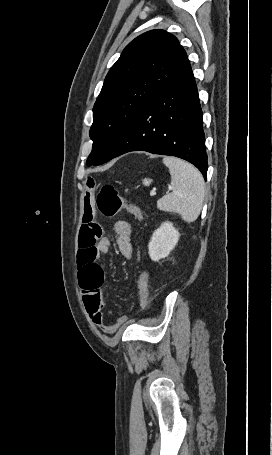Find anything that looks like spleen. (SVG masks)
<instances>
[{
    "mask_svg": "<svg viewBox=\"0 0 272 455\" xmlns=\"http://www.w3.org/2000/svg\"><path fill=\"white\" fill-rule=\"evenodd\" d=\"M163 163L171 174L172 192L157 201L159 210L178 213L185 222L195 221L201 213L205 197L202 174L191 164L175 157H164ZM151 179H144L149 186Z\"/></svg>",
    "mask_w": 272,
    "mask_h": 455,
    "instance_id": "3e777b00",
    "label": "spleen"
}]
</instances>
